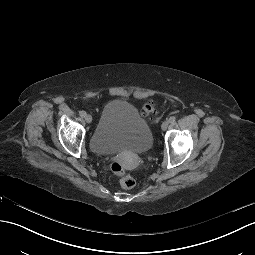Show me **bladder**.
Wrapping results in <instances>:
<instances>
[{
  "label": "bladder",
  "instance_id": "bladder-1",
  "mask_svg": "<svg viewBox=\"0 0 255 255\" xmlns=\"http://www.w3.org/2000/svg\"><path fill=\"white\" fill-rule=\"evenodd\" d=\"M152 142V130L134 105L115 99L107 104L91 138V147L105 154L126 151L146 153L151 149Z\"/></svg>",
  "mask_w": 255,
  "mask_h": 255
}]
</instances>
